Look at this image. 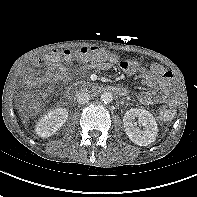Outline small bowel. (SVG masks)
I'll use <instances>...</instances> for the list:
<instances>
[{
  "instance_id": "obj_1",
  "label": "small bowel",
  "mask_w": 197,
  "mask_h": 197,
  "mask_svg": "<svg viewBox=\"0 0 197 197\" xmlns=\"http://www.w3.org/2000/svg\"><path fill=\"white\" fill-rule=\"evenodd\" d=\"M39 65L40 60L35 62ZM100 68H106L107 65L100 63ZM123 70L131 75L137 71L143 73L142 83L146 87V90L139 94V100L144 105L159 104L168 101L171 97L173 90V78L172 75L167 72L164 67L159 63H153L147 71L139 66L136 61H129V66L123 68ZM70 69L68 66L60 62L47 63L45 81L54 82L57 80H69Z\"/></svg>"
}]
</instances>
